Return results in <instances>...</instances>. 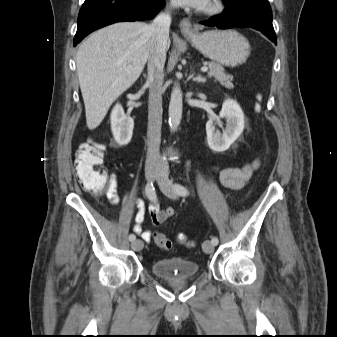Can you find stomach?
Wrapping results in <instances>:
<instances>
[{
    "mask_svg": "<svg viewBox=\"0 0 337 337\" xmlns=\"http://www.w3.org/2000/svg\"><path fill=\"white\" fill-rule=\"evenodd\" d=\"M185 37L204 56L226 66L243 64L250 55L248 40L233 30H213Z\"/></svg>",
    "mask_w": 337,
    "mask_h": 337,
    "instance_id": "stomach-1",
    "label": "stomach"
}]
</instances>
